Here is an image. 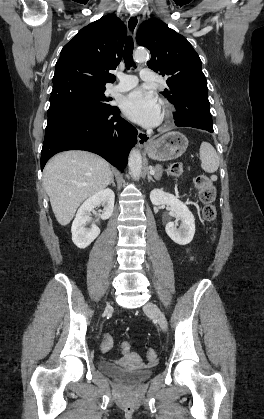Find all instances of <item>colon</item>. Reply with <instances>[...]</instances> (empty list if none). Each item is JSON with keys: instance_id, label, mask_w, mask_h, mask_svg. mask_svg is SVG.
<instances>
[{"instance_id": "1", "label": "colon", "mask_w": 264, "mask_h": 419, "mask_svg": "<svg viewBox=\"0 0 264 419\" xmlns=\"http://www.w3.org/2000/svg\"><path fill=\"white\" fill-rule=\"evenodd\" d=\"M183 170L184 165L182 163L175 162L168 166L167 173L172 177H177L182 174ZM195 185L198 190L199 198L203 203L204 219L208 222H215L217 216L216 208L214 206L216 191L213 182L208 176L201 175L196 178ZM101 346L104 351L111 350L113 347L112 336L109 334L104 335ZM129 350L130 345L126 342L123 345V351L126 352ZM146 356L148 360L153 361L156 359L157 354L154 349L150 348L147 350Z\"/></svg>"}]
</instances>
